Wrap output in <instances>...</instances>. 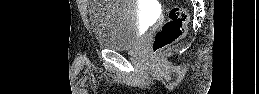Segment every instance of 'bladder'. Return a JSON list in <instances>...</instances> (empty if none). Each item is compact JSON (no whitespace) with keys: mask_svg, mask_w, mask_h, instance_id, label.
Listing matches in <instances>:
<instances>
[{"mask_svg":"<svg viewBox=\"0 0 259 94\" xmlns=\"http://www.w3.org/2000/svg\"><path fill=\"white\" fill-rule=\"evenodd\" d=\"M89 22L93 35L102 47L120 51L139 40L142 18L132 0H93L89 2Z\"/></svg>","mask_w":259,"mask_h":94,"instance_id":"bladder-1","label":"bladder"}]
</instances>
